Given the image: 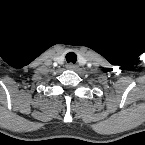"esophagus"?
<instances>
[{
  "mask_svg": "<svg viewBox=\"0 0 145 145\" xmlns=\"http://www.w3.org/2000/svg\"><path fill=\"white\" fill-rule=\"evenodd\" d=\"M66 68L68 70H76L77 69V65L73 64V63H69L66 65Z\"/></svg>",
  "mask_w": 145,
  "mask_h": 145,
  "instance_id": "esophagus-1",
  "label": "esophagus"
}]
</instances>
